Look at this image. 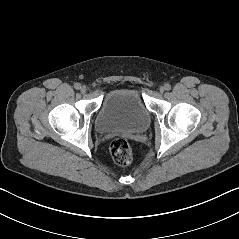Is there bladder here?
Returning <instances> with one entry per match:
<instances>
[{"instance_id": "31cf9c89", "label": "bladder", "mask_w": 239, "mask_h": 239, "mask_svg": "<svg viewBox=\"0 0 239 239\" xmlns=\"http://www.w3.org/2000/svg\"><path fill=\"white\" fill-rule=\"evenodd\" d=\"M150 124V111L136 88L108 91L95 118V129L101 134H141L148 130Z\"/></svg>"}]
</instances>
